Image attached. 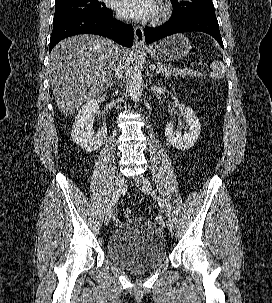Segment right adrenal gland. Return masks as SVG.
<instances>
[{
	"mask_svg": "<svg viewBox=\"0 0 272 303\" xmlns=\"http://www.w3.org/2000/svg\"><path fill=\"white\" fill-rule=\"evenodd\" d=\"M115 83H116L115 81H113L112 83H110V85H109L110 88L113 87L115 85Z\"/></svg>",
	"mask_w": 272,
	"mask_h": 303,
	"instance_id": "2a0ac1e0",
	"label": "right adrenal gland"
}]
</instances>
